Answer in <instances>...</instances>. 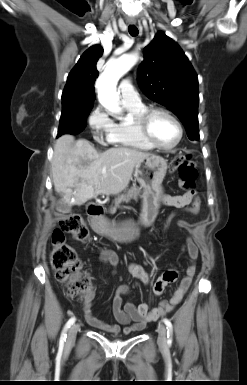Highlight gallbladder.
<instances>
[{
  "label": "gallbladder",
  "mask_w": 247,
  "mask_h": 385,
  "mask_svg": "<svg viewBox=\"0 0 247 385\" xmlns=\"http://www.w3.org/2000/svg\"><path fill=\"white\" fill-rule=\"evenodd\" d=\"M56 208L60 213H69L71 211V206L64 203L63 201H58Z\"/></svg>",
  "instance_id": "gallbladder-1"
}]
</instances>
